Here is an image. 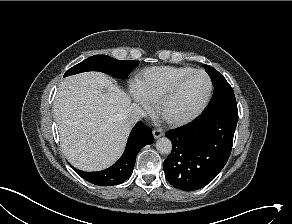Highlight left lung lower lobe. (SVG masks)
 I'll return each mask as SVG.
<instances>
[{"mask_svg": "<svg viewBox=\"0 0 292 224\" xmlns=\"http://www.w3.org/2000/svg\"><path fill=\"white\" fill-rule=\"evenodd\" d=\"M237 121V104L232 103L166 133L173 145L163 163L168 182L184 191H194L210 183L230 156Z\"/></svg>", "mask_w": 292, "mask_h": 224, "instance_id": "left-lung-lower-lobe-1", "label": "left lung lower lobe"}]
</instances>
